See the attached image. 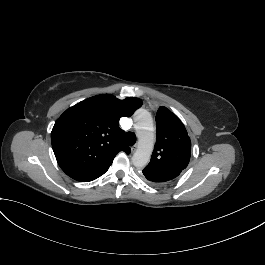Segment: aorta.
<instances>
[{
  "instance_id": "762f6f07",
  "label": "aorta",
  "mask_w": 265,
  "mask_h": 265,
  "mask_svg": "<svg viewBox=\"0 0 265 265\" xmlns=\"http://www.w3.org/2000/svg\"><path fill=\"white\" fill-rule=\"evenodd\" d=\"M136 128L139 131L138 148L132 156V163L137 168L146 166L154 147L153 119L145 109H139L135 116Z\"/></svg>"
}]
</instances>
